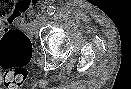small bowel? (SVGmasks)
Listing matches in <instances>:
<instances>
[{
	"instance_id": "c3829d8e",
	"label": "small bowel",
	"mask_w": 131,
	"mask_h": 89,
	"mask_svg": "<svg viewBox=\"0 0 131 89\" xmlns=\"http://www.w3.org/2000/svg\"><path fill=\"white\" fill-rule=\"evenodd\" d=\"M24 8H27V6L23 4H17L15 7L16 13L17 14L22 13L21 10H23ZM17 17L18 16L15 17L14 15H11V16H6L0 19V30L2 29L3 25H7L10 21L17 19Z\"/></svg>"
}]
</instances>
